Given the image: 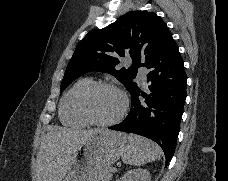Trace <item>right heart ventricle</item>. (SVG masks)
<instances>
[{
    "label": "right heart ventricle",
    "mask_w": 228,
    "mask_h": 181,
    "mask_svg": "<svg viewBox=\"0 0 228 181\" xmlns=\"http://www.w3.org/2000/svg\"><path fill=\"white\" fill-rule=\"evenodd\" d=\"M93 83L91 78L79 79L67 93L61 108V120L66 125L85 126L87 121L82 118L78 109V101L82 93Z\"/></svg>",
    "instance_id": "e07e8e85"
}]
</instances>
